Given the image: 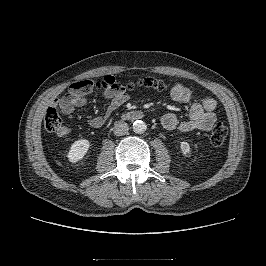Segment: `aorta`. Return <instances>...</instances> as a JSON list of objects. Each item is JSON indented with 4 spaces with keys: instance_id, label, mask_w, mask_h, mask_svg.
Returning a JSON list of instances; mask_svg holds the SVG:
<instances>
[{
    "instance_id": "1",
    "label": "aorta",
    "mask_w": 266,
    "mask_h": 266,
    "mask_svg": "<svg viewBox=\"0 0 266 266\" xmlns=\"http://www.w3.org/2000/svg\"><path fill=\"white\" fill-rule=\"evenodd\" d=\"M147 129L146 123L142 120H136L133 123V131L137 134H142Z\"/></svg>"
}]
</instances>
